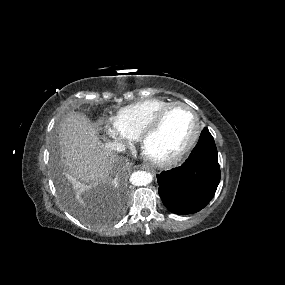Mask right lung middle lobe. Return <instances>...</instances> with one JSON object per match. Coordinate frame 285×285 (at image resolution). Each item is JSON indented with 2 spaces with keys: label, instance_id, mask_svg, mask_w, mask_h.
<instances>
[{
  "label": "right lung middle lobe",
  "instance_id": "obj_1",
  "mask_svg": "<svg viewBox=\"0 0 285 285\" xmlns=\"http://www.w3.org/2000/svg\"><path fill=\"white\" fill-rule=\"evenodd\" d=\"M86 220L87 221H90V222H93V223H97V221L96 220H94L92 217H88V216H86ZM99 223V222H98Z\"/></svg>",
  "mask_w": 285,
  "mask_h": 285
}]
</instances>
